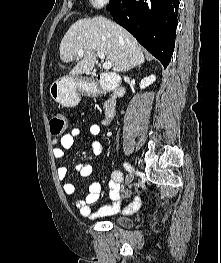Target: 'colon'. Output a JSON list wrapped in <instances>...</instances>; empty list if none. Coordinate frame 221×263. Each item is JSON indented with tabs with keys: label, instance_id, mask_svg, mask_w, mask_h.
Returning a JSON list of instances; mask_svg holds the SVG:
<instances>
[{
	"label": "colon",
	"instance_id": "1",
	"mask_svg": "<svg viewBox=\"0 0 221 263\" xmlns=\"http://www.w3.org/2000/svg\"><path fill=\"white\" fill-rule=\"evenodd\" d=\"M50 134L53 137L62 136L67 129V120L62 113H55L49 122Z\"/></svg>",
	"mask_w": 221,
	"mask_h": 263
}]
</instances>
